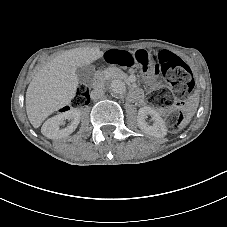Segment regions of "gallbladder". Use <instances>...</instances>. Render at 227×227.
I'll return each instance as SVG.
<instances>
[{"label":"gallbladder","mask_w":227,"mask_h":227,"mask_svg":"<svg viewBox=\"0 0 227 227\" xmlns=\"http://www.w3.org/2000/svg\"><path fill=\"white\" fill-rule=\"evenodd\" d=\"M76 74L78 76L80 84L85 86H91L94 80L95 66L90 64L79 67L76 71Z\"/></svg>","instance_id":"gallbladder-1"}]
</instances>
